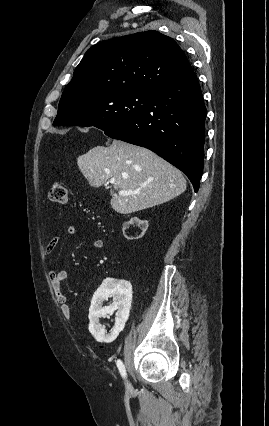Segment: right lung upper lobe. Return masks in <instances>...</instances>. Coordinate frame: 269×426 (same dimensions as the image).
<instances>
[{
	"mask_svg": "<svg viewBox=\"0 0 269 426\" xmlns=\"http://www.w3.org/2000/svg\"><path fill=\"white\" fill-rule=\"evenodd\" d=\"M192 71L184 52L172 38L157 31L139 32L91 47L76 67L62 97L151 92Z\"/></svg>",
	"mask_w": 269,
	"mask_h": 426,
	"instance_id": "1",
	"label": "right lung upper lobe"
}]
</instances>
